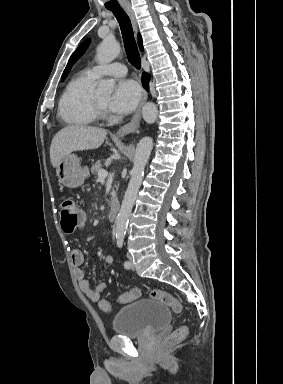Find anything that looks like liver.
<instances>
[{
  "instance_id": "1",
  "label": "liver",
  "mask_w": 283,
  "mask_h": 384,
  "mask_svg": "<svg viewBox=\"0 0 283 384\" xmlns=\"http://www.w3.org/2000/svg\"><path fill=\"white\" fill-rule=\"evenodd\" d=\"M107 136L102 128L90 126H67L54 136L50 146V160L53 168H57L62 158L77 150H96L102 146Z\"/></svg>"
}]
</instances>
